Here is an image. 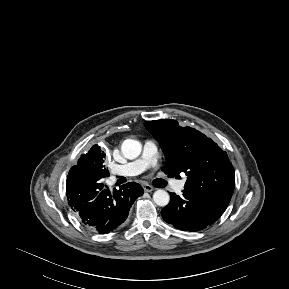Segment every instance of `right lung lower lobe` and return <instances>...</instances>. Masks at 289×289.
<instances>
[{
	"label": "right lung lower lobe",
	"instance_id": "1",
	"mask_svg": "<svg viewBox=\"0 0 289 289\" xmlns=\"http://www.w3.org/2000/svg\"><path fill=\"white\" fill-rule=\"evenodd\" d=\"M66 192L68 203L81 222L93 231L106 234L126 220L132 204L144 190L138 183L129 182L110 192L103 179L72 167L67 176Z\"/></svg>",
	"mask_w": 289,
	"mask_h": 289
}]
</instances>
